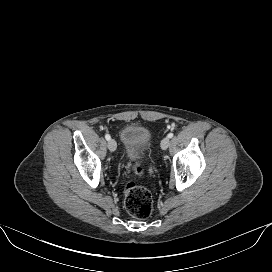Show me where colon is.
I'll return each instance as SVG.
<instances>
[{"instance_id": "1", "label": "colon", "mask_w": 272, "mask_h": 272, "mask_svg": "<svg viewBox=\"0 0 272 272\" xmlns=\"http://www.w3.org/2000/svg\"><path fill=\"white\" fill-rule=\"evenodd\" d=\"M133 170L139 176L143 174V168L140 165H135ZM124 203L127 212L138 219L149 217L153 210V200L150 192L134 182L128 183L125 187Z\"/></svg>"}]
</instances>
